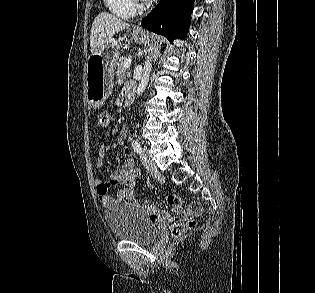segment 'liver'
Listing matches in <instances>:
<instances>
[{"mask_svg":"<svg viewBox=\"0 0 315 293\" xmlns=\"http://www.w3.org/2000/svg\"><path fill=\"white\" fill-rule=\"evenodd\" d=\"M129 27L128 23L110 13L102 12L98 14L91 27V52L99 51L102 47L110 43L116 33Z\"/></svg>","mask_w":315,"mask_h":293,"instance_id":"6515ba94","label":"liver"}]
</instances>
